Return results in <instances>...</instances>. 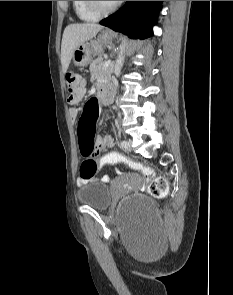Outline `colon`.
<instances>
[{
  "mask_svg": "<svg viewBox=\"0 0 233 295\" xmlns=\"http://www.w3.org/2000/svg\"><path fill=\"white\" fill-rule=\"evenodd\" d=\"M66 85L71 98H76L85 92L84 79L76 72H67ZM95 128V117L89 112L84 113L78 124L80 151L84 157V161L80 166V177L82 179H91L101 168L124 163L144 175L148 181L150 195L159 199L167 196L169 191L167 180L164 177H156L152 168L145 166L141 162L134 161L118 151H110L101 156H95Z\"/></svg>",
  "mask_w": 233,
  "mask_h": 295,
  "instance_id": "1",
  "label": "colon"
}]
</instances>
